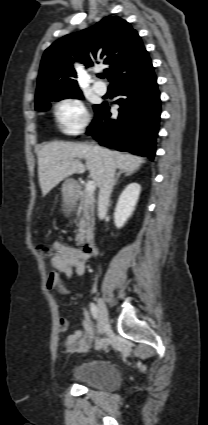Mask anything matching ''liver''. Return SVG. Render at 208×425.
Segmentation results:
<instances>
[{"mask_svg": "<svg viewBox=\"0 0 208 425\" xmlns=\"http://www.w3.org/2000/svg\"><path fill=\"white\" fill-rule=\"evenodd\" d=\"M84 143L50 142L38 151V177L42 195L46 196L65 178L89 170L95 185L100 187L107 156L115 162L116 168L136 171L145 163L142 157L118 151L99 148ZM84 158L83 165L78 159Z\"/></svg>", "mask_w": 208, "mask_h": 425, "instance_id": "liver-1", "label": "liver"}]
</instances>
